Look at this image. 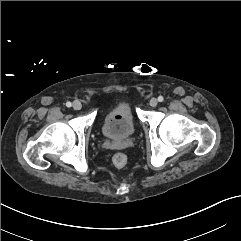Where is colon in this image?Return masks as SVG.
I'll use <instances>...</instances> for the list:
<instances>
[{
	"label": "colon",
	"instance_id": "5ec220e1",
	"mask_svg": "<svg viewBox=\"0 0 241 241\" xmlns=\"http://www.w3.org/2000/svg\"><path fill=\"white\" fill-rule=\"evenodd\" d=\"M127 156L124 154V153H116L114 156H113V164L116 166V167H124L126 164H127Z\"/></svg>",
	"mask_w": 241,
	"mask_h": 241
}]
</instances>
